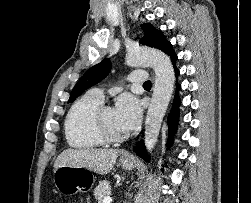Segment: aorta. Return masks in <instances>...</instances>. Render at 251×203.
<instances>
[{
  "label": "aorta",
  "instance_id": "aorta-1",
  "mask_svg": "<svg viewBox=\"0 0 251 203\" xmlns=\"http://www.w3.org/2000/svg\"><path fill=\"white\" fill-rule=\"evenodd\" d=\"M128 66H151L155 72V84L151 103L145 121V146L151 152L157 142L161 123L169 105L175 83L174 69L170 58L160 50L137 48L126 55ZM142 202V193L136 197V203Z\"/></svg>",
  "mask_w": 251,
  "mask_h": 203
}]
</instances>
